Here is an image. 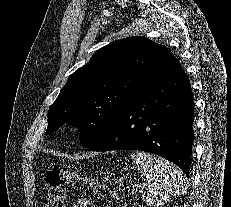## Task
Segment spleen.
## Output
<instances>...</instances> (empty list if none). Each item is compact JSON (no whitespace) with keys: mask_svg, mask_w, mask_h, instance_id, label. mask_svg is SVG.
<instances>
[{"mask_svg":"<svg viewBox=\"0 0 231 207\" xmlns=\"http://www.w3.org/2000/svg\"><path fill=\"white\" fill-rule=\"evenodd\" d=\"M135 167L146 183L143 202L148 207L162 206L186 191V177L170 162L146 152L131 154Z\"/></svg>","mask_w":231,"mask_h":207,"instance_id":"1","label":"spleen"}]
</instances>
